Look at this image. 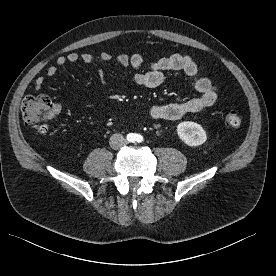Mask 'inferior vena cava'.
Returning <instances> with one entry per match:
<instances>
[{
  "instance_id": "602c4592",
  "label": "inferior vena cava",
  "mask_w": 276,
  "mask_h": 276,
  "mask_svg": "<svg viewBox=\"0 0 276 276\" xmlns=\"http://www.w3.org/2000/svg\"><path fill=\"white\" fill-rule=\"evenodd\" d=\"M109 144L112 149L117 150L125 146L127 144V141L123 137V135L116 133L110 137Z\"/></svg>"
}]
</instances>
